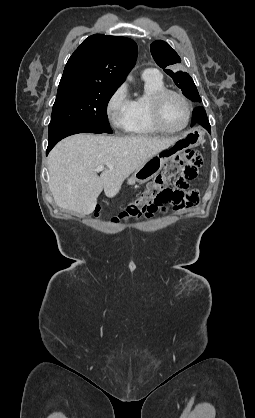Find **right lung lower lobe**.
<instances>
[{"label":"right lung lower lobe","mask_w":255,"mask_h":418,"mask_svg":"<svg viewBox=\"0 0 255 418\" xmlns=\"http://www.w3.org/2000/svg\"><path fill=\"white\" fill-rule=\"evenodd\" d=\"M77 133H104L102 130H99L94 127L83 126V125H64L56 126L52 129H49V138H48V148L46 154L55 146V144L61 139L77 134Z\"/></svg>","instance_id":"right-lung-lower-lobe-1"}]
</instances>
